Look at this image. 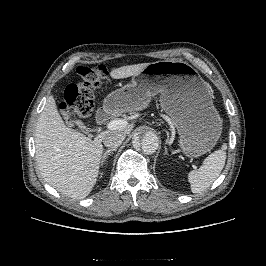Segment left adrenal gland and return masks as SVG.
<instances>
[{
  "instance_id": "a2214340",
  "label": "left adrenal gland",
  "mask_w": 266,
  "mask_h": 266,
  "mask_svg": "<svg viewBox=\"0 0 266 266\" xmlns=\"http://www.w3.org/2000/svg\"><path fill=\"white\" fill-rule=\"evenodd\" d=\"M164 148H165V152H164V154H168V152H167V147L165 146Z\"/></svg>"
}]
</instances>
